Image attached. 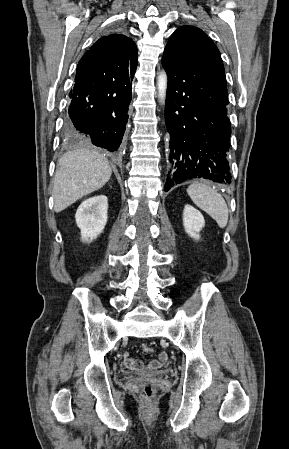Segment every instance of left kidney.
<instances>
[{
  "mask_svg": "<svg viewBox=\"0 0 289 449\" xmlns=\"http://www.w3.org/2000/svg\"><path fill=\"white\" fill-rule=\"evenodd\" d=\"M183 225L185 232L195 240L200 238L199 232L205 226V220L201 212L191 205H185L183 211Z\"/></svg>",
  "mask_w": 289,
  "mask_h": 449,
  "instance_id": "left-kidney-1",
  "label": "left kidney"
}]
</instances>
